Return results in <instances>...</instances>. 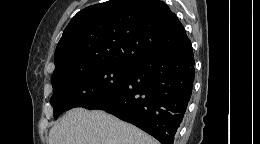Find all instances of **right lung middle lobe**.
<instances>
[{"mask_svg":"<svg viewBox=\"0 0 260 144\" xmlns=\"http://www.w3.org/2000/svg\"><path fill=\"white\" fill-rule=\"evenodd\" d=\"M128 74L129 67L105 64L53 76L50 103L54 118L74 107L87 108L107 99L125 84Z\"/></svg>","mask_w":260,"mask_h":144,"instance_id":"obj_1","label":"right lung middle lobe"}]
</instances>
